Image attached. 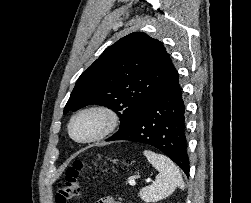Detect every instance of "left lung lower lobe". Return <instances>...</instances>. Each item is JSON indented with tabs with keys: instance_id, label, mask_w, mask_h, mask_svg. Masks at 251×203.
I'll list each match as a JSON object with an SVG mask.
<instances>
[{
	"instance_id": "left-lung-lower-lobe-1",
	"label": "left lung lower lobe",
	"mask_w": 251,
	"mask_h": 203,
	"mask_svg": "<svg viewBox=\"0 0 251 203\" xmlns=\"http://www.w3.org/2000/svg\"><path fill=\"white\" fill-rule=\"evenodd\" d=\"M149 144L161 150L189 176L185 104L173 63L156 90L123 132L107 139Z\"/></svg>"
}]
</instances>
